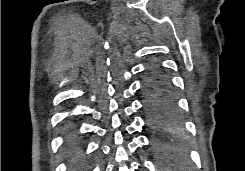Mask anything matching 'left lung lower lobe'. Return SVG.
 Segmentation results:
<instances>
[{
  "instance_id": "obj_1",
  "label": "left lung lower lobe",
  "mask_w": 245,
  "mask_h": 171,
  "mask_svg": "<svg viewBox=\"0 0 245 171\" xmlns=\"http://www.w3.org/2000/svg\"><path fill=\"white\" fill-rule=\"evenodd\" d=\"M148 74L144 83L145 105L150 123L157 129H169L177 122V99L174 87L167 72L154 62L149 63ZM155 148L161 156H172L169 143L161 138L154 140ZM166 167H174V162H183V157H162Z\"/></svg>"
}]
</instances>
